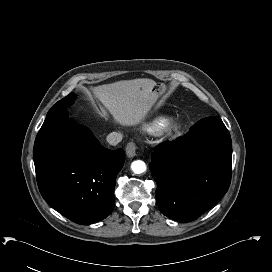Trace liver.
<instances>
[{"label":"liver","instance_id":"liver-1","mask_svg":"<svg viewBox=\"0 0 272 272\" xmlns=\"http://www.w3.org/2000/svg\"><path fill=\"white\" fill-rule=\"evenodd\" d=\"M154 85L153 80L141 78L100 85L92 91L116 123L136 126L145 120L151 110Z\"/></svg>","mask_w":272,"mask_h":272}]
</instances>
